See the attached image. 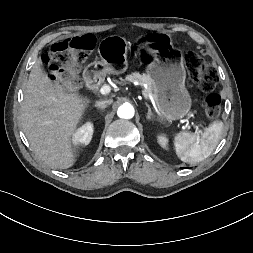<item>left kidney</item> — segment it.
<instances>
[{
	"label": "left kidney",
	"mask_w": 253,
	"mask_h": 253,
	"mask_svg": "<svg viewBox=\"0 0 253 253\" xmlns=\"http://www.w3.org/2000/svg\"><path fill=\"white\" fill-rule=\"evenodd\" d=\"M158 142L163 148H166L168 144V139L165 136L160 135L158 136Z\"/></svg>",
	"instance_id": "left-kidney-1"
}]
</instances>
